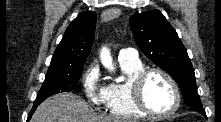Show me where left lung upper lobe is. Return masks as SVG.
I'll use <instances>...</instances> for the list:
<instances>
[{"instance_id": "1", "label": "left lung upper lobe", "mask_w": 221, "mask_h": 122, "mask_svg": "<svg viewBox=\"0 0 221 122\" xmlns=\"http://www.w3.org/2000/svg\"><path fill=\"white\" fill-rule=\"evenodd\" d=\"M134 39L141 51L178 83L187 106L202 111L193 66L174 28L158 10L130 17Z\"/></svg>"}]
</instances>
